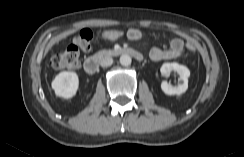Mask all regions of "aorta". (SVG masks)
Listing matches in <instances>:
<instances>
[{
	"instance_id": "762f6f07",
	"label": "aorta",
	"mask_w": 244,
	"mask_h": 157,
	"mask_svg": "<svg viewBox=\"0 0 244 157\" xmlns=\"http://www.w3.org/2000/svg\"><path fill=\"white\" fill-rule=\"evenodd\" d=\"M132 59L129 55L123 54L120 56V64L122 66H129L131 65Z\"/></svg>"
}]
</instances>
